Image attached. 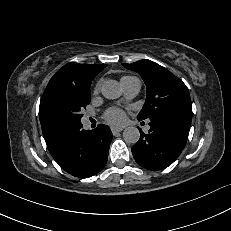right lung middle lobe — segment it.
Here are the masks:
<instances>
[{"label": "right lung middle lobe", "instance_id": "dd1d6c3e", "mask_svg": "<svg viewBox=\"0 0 231 231\" xmlns=\"http://www.w3.org/2000/svg\"><path fill=\"white\" fill-rule=\"evenodd\" d=\"M90 100V89L66 84L46 87L39 106L40 121L55 130L77 125Z\"/></svg>", "mask_w": 231, "mask_h": 231}]
</instances>
